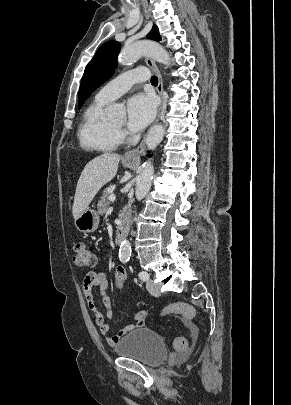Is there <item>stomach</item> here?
Instances as JSON below:
<instances>
[{"label":"stomach","mask_w":291,"mask_h":405,"mask_svg":"<svg viewBox=\"0 0 291 405\" xmlns=\"http://www.w3.org/2000/svg\"><path fill=\"white\" fill-rule=\"evenodd\" d=\"M98 225L99 215L96 210L89 207L75 219V226L81 232H93L98 228Z\"/></svg>","instance_id":"obj_1"}]
</instances>
